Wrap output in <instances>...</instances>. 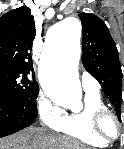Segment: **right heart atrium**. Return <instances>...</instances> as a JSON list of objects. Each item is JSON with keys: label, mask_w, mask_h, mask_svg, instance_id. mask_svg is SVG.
Wrapping results in <instances>:
<instances>
[{"label": "right heart atrium", "mask_w": 124, "mask_h": 149, "mask_svg": "<svg viewBox=\"0 0 124 149\" xmlns=\"http://www.w3.org/2000/svg\"><path fill=\"white\" fill-rule=\"evenodd\" d=\"M39 120L46 127L56 130L61 124L65 111L53 103L46 95L41 94L36 103Z\"/></svg>", "instance_id": "right-heart-atrium-1"}]
</instances>
